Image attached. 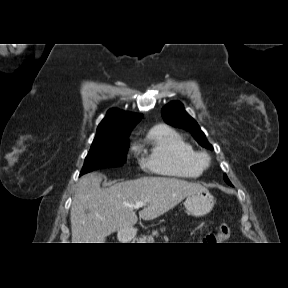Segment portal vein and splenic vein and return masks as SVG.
I'll return each instance as SVG.
<instances>
[{
	"mask_svg": "<svg viewBox=\"0 0 288 288\" xmlns=\"http://www.w3.org/2000/svg\"><path fill=\"white\" fill-rule=\"evenodd\" d=\"M145 205H146L145 202L139 201V202H136L135 205H133V207L134 208H139V207H143Z\"/></svg>",
	"mask_w": 288,
	"mask_h": 288,
	"instance_id": "portal-vein-and-splenic-vein-1",
	"label": "portal vein and splenic vein"
}]
</instances>
